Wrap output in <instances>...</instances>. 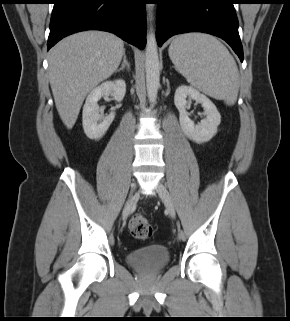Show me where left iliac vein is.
Listing matches in <instances>:
<instances>
[{"instance_id":"left-iliac-vein-1","label":"left iliac vein","mask_w":290,"mask_h":321,"mask_svg":"<svg viewBox=\"0 0 290 321\" xmlns=\"http://www.w3.org/2000/svg\"><path fill=\"white\" fill-rule=\"evenodd\" d=\"M156 189H157L159 197L161 198V200L165 204L168 213L170 214L171 217L175 218V216H176L175 206L173 204L172 198H171L168 190L161 183H159L157 185Z\"/></svg>"}]
</instances>
